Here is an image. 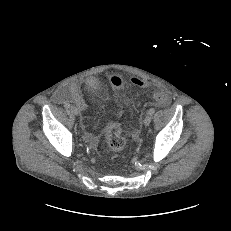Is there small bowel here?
<instances>
[{
    "instance_id": "small-bowel-1",
    "label": "small bowel",
    "mask_w": 231,
    "mask_h": 231,
    "mask_svg": "<svg viewBox=\"0 0 231 231\" xmlns=\"http://www.w3.org/2000/svg\"><path fill=\"white\" fill-rule=\"evenodd\" d=\"M85 86L88 90L95 91L99 88L100 81L95 77H90L86 79ZM60 94L65 100L74 102L81 109V111L84 112L83 127L86 130V138L91 146L96 147L99 139L96 134L88 132L89 122L91 120L90 107L82 95L81 83H70L68 86L61 89Z\"/></svg>"
}]
</instances>
